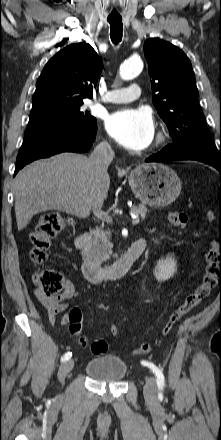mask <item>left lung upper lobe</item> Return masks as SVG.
I'll return each mask as SVG.
<instances>
[{"label": "left lung upper lobe", "instance_id": "obj_1", "mask_svg": "<svg viewBox=\"0 0 221 440\" xmlns=\"http://www.w3.org/2000/svg\"><path fill=\"white\" fill-rule=\"evenodd\" d=\"M153 104L166 123L173 143L166 150L182 157L221 161L198 104V90L190 60L173 44L159 38L144 43Z\"/></svg>", "mask_w": 221, "mask_h": 440}]
</instances>
